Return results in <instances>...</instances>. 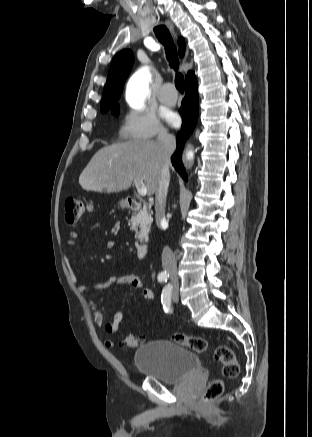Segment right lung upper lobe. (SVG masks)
Returning <instances> with one entry per match:
<instances>
[{
  "label": "right lung upper lobe",
  "instance_id": "1",
  "mask_svg": "<svg viewBox=\"0 0 312 437\" xmlns=\"http://www.w3.org/2000/svg\"><path fill=\"white\" fill-rule=\"evenodd\" d=\"M180 57L184 55L185 43L182 38L178 40ZM134 61V56L131 50L124 49L117 53L110 66L107 82L104 87L103 96L101 99V111H108L110 108L117 107L116 102L119 99L123 84L127 78ZM192 71H189L185 77V80L193 75Z\"/></svg>",
  "mask_w": 312,
  "mask_h": 437
}]
</instances>
